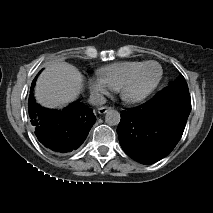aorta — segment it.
<instances>
[{
    "mask_svg": "<svg viewBox=\"0 0 213 213\" xmlns=\"http://www.w3.org/2000/svg\"><path fill=\"white\" fill-rule=\"evenodd\" d=\"M120 113L115 109H108L105 114V122L109 126H117L120 123Z\"/></svg>",
    "mask_w": 213,
    "mask_h": 213,
    "instance_id": "obj_1",
    "label": "aorta"
}]
</instances>
